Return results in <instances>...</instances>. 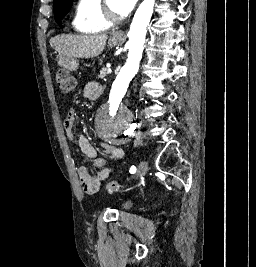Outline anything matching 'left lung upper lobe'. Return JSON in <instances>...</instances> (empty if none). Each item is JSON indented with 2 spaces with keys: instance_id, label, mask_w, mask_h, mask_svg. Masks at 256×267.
<instances>
[{
  "instance_id": "obj_1",
  "label": "left lung upper lobe",
  "mask_w": 256,
  "mask_h": 267,
  "mask_svg": "<svg viewBox=\"0 0 256 267\" xmlns=\"http://www.w3.org/2000/svg\"><path fill=\"white\" fill-rule=\"evenodd\" d=\"M73 0H53L54 16L58 24H61L63 17L69 12Z\"/></svg>"
}]
</instances>
